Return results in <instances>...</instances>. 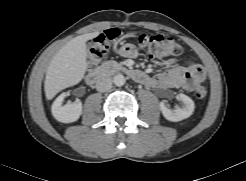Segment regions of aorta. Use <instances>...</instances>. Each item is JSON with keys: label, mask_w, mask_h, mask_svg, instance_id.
I'll list each match as a JSON object with an SVG mask.
<instances>
[{"label": "aorta", "mask_w": 246, "mask_h": 181, "mask_svg": "<svg viewBox=\"0 0 246 181\" xmlns=\"http://www.w3.org/2000/svg\"><path fill=\"white\" fill-rule=\"evenodd\" d=\"M113 82H114V84L116 86L121 87V86H123L125 84L126 79H125L124 75L117 74V75L114 76Z\"/></svg>", "instance_id": "1"}]
</instances>
